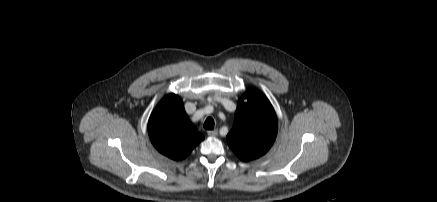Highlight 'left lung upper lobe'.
<instances>
[{
  "mask_svg": "<svg viewBox=\"0 0 437 202\" xmlns=\"http://www.w3.org/2000/svg\"><path fill=\"white\" fill-rule=\"evenodd\" d=\"M277 135V117L259 90L246 91L238 101L227 143L243 161L257 159L271 148Z\"/></svg>",
  "mask_w": 437,
  "mask_h": 202,
  "instance_id": "obj_1",
  "label": "left lung upper lobe"
}]
</instances>
